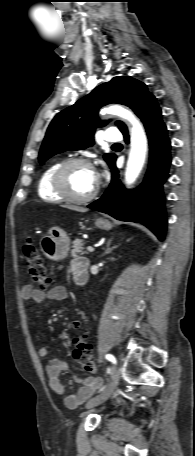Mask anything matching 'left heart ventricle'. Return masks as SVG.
Masks as SVG:
<instances>
[{"mask_svg": "<svg viewBox=\"0 0 195 456\" xmlns=\"http://www.w3.org/2000/svg\"><path fill=\"white\" fill-rule=\"evenodd\" d=\"M69 191L76 196H86L93 191L97 184L95 171L84 165L71 167L66 175Z\"/></svg>", "mask_w": 195, "mask_h": 456, "instance_id": "1", "label": "left heart ventricle"}]
</instances>
